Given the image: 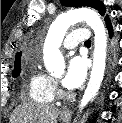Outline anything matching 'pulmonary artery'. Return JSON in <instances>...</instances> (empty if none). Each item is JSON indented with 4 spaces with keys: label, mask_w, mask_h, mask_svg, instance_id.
I'll return each instance as SVG.
<instances>
[{
    "label": "pulmonary artery",
    "mask_w": 122,
    "mask_h": 123,
    "mask_svg": "<svg viewBox=\"0 0 122 123\" xmlns=\"http://www.w3.org/2000/svg\"><path fill=\"white\" fill-rule=\"evenodd\" d=\"M89 39V33L84 28H78L71 31L63 41V47L66 49H73L79 43H83Z\"/></svg>",
    "instance_id": "pulmonary-artery-1"
}]
</instances>
